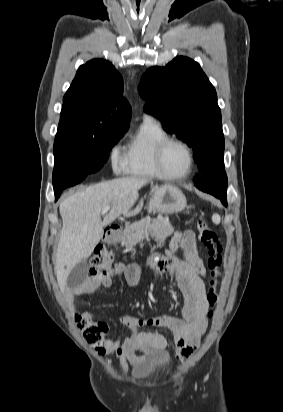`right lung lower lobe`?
<instances>
[{
  "label": "right lung lower lobe",
  "mask_w": 283,
  "mask_h": 412,
  "mask_svg": "<svg viewBox=\"0 0 283 412\" xmlns=\"http://www.w3.org/2000/svg\"><path fill=\"white\" fill-rule=\"evenodd\" d=\"M85 178L86 177L60 178V179L54 180L53 187H54V193H55V200H57L60 197V194L63 189L76 185L80 183L82 180H84Z\"/></svg>",
  "instance_id": "98d812e1"
}]
</instances>
